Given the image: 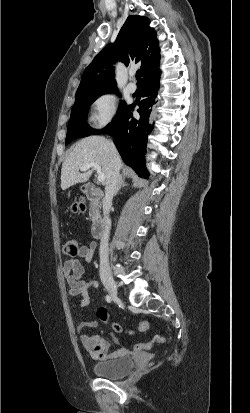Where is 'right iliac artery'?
I'll use <instances>...</instances> for the list:
<instances>
[{
  "mask_svg": "<svg viewBox=\"0 0 250 413\" xmlns=\"http://www.w3.org/2000/svg\"><path fill=\"white\" fill-rule=\"evenodd\" d=\"M106 301H107L108 303L111 302V297H110L109 295L106 296Z\"/></svg>",
  "mask_w": 250,
  "mask_h": 413,
  "instance_id": "right-iliac-artery-1",
  "label": "right iliac artery"
}]
</instances>
